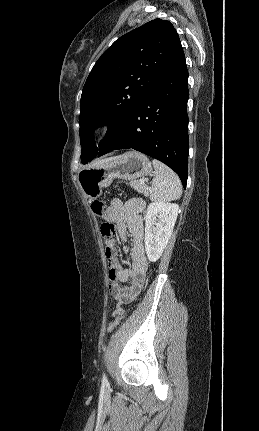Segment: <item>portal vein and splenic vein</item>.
I'll list each match as a JSON object with an SVG mask.
<instances>
[{"label":"portal vein and splenic vein","instance_id":"18ae733b","mask_svg":"<svg viewBox=\"0 0 259 431\" xmlns=\"http://www.w3.org/2000/svg\"><path fill=\"white\" fill-rule=\"evenodd\" d=\"M140 183H145V180H144V179H141V180H140Z\"/></svg>","mask_w":259,"mask_h":431}]
</instances>
